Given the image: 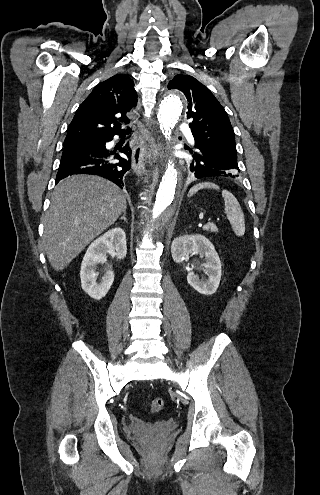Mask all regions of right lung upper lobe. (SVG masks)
I'll list each match as a JSON object with an SVG mask.
<instances>
[{
  "mask_svg": "<svg viewBox=\"0 0 320 495\" xmlns=\"http://www.w3.org/2000/svg\"><path fill=\"white\" fill-rule=\"evenodd\" d=\"M137 103V93L130 76L116 74L99 83L77 109L65 141L103 138L123 132L128 124L126 113ZM64 141V142H65Z\"/></svg>",
  "mask_w": 320,
  "mask_h": 495,
  "instance_id": "right-lung-upper-lobe-1",
  "label": "right lung upper lobe"
}]
</instances>
